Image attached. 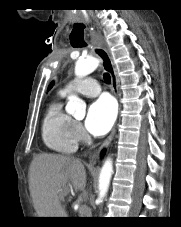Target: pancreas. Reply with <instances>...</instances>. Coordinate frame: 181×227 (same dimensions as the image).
I'll list each match as a JSON object with an SVG mask.
<instances>
[{
  "instance_id": "pancreas-1",
  "label": "pancreas",
  "mask_w": 181,
  "mask_h": 227,
  "mask_svg": "<svg viewBox=\"0 0 181 227\" xmlns=\"http://www.w3.org/2000/svg\"><path fill=\"white\" fill-rule=\"evenodd\" d=\"M86 213L82 212L81 209L79 208V217H86Z\"/></svg>"
}]
</instances>
